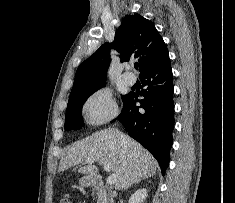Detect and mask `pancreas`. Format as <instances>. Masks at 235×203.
<instances>
[{"label": "pancreas", "mask_w": 235, "mask_h": 203, "mask_svg": "<svg viewBox=\"0 0 235 203\" xmlns=\"http://www.w3.org/2000/svg\"><path fill=\"white\" fill-rule=\"evenodd\" d=\"M97 203H112V199L104 189L98 190Z\"/></svg>", "instance_id": "1"}]
</instances>
